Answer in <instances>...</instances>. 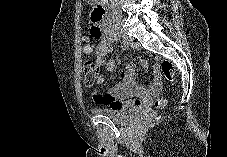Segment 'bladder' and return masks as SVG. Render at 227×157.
Returning <instances> with one entry per match:
<instances>
[{"mask_svg": "<svg viewBox=\"0 0 227 157\" xmlns=\"http://www.w3.org/2000/svg\"><path fill=\"white\" fill-rule=\"evenodd\" d=\"M97 114L110 118L115 122L127 123L137 118L141 111L136 109H113L110 107L95 108Z\"/></svg>", "mask_w": 227, "mask_h": 157, "instance_id": "31cf9c89", "label": "bladder"}]
</instances>
